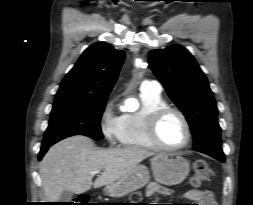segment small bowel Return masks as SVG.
<instances>
[{"instance_id":"1","label":"small bowel","mask_w":253,"mask_h":205,"mask_svg":"<svg viewBox=\"0 0 253 205\" xmlns=\"http://www.w3.org/2000/svg\"><path fill=\"white\" fill-rule=\"evenodd\" d=\"M146 193L147 196L154 194L169 195L171 191L157 183H151ZM184 196L190 201L197 203L196 205H216L212 193L208 190H190Z\"/></svg>"}]
</instances>
